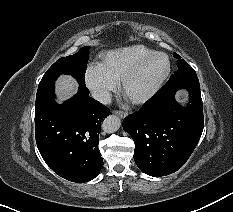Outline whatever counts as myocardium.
I'll list each match as a JSON object with an SVG mask.
<instances>
[{"instance_id":"f54148a6","label":"myocardium","mask_w":233,"mask_h":212,"mask_svg":"<svg viewBox=\"0 0 233 212\" xmlns=\"http://www.w3.org/2000/svg\"><path fill=\"white\" fill-rule=\"evenodd\" d=\"M157 56H162L167 61V68L164 74L160 77V79L144 94L137 97H130L127 94V88L130 82L138 75L141 69L153 58ZM171 73V61L167 54L163 52H154L143 59H141L138 63H136L122 78L121 80V90L123 95L135 105H141L148 102L151 98H153L157 92L162 88L166 80L168 79Z\"/></svg>"}]
</instances>
